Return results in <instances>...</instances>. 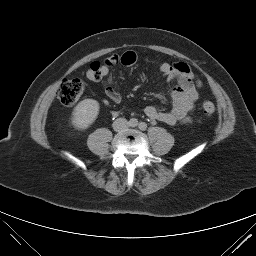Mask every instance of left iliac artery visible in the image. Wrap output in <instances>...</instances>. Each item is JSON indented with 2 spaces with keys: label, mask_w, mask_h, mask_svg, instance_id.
I'll list each match as a JSON object with an SVG mask.
<instances>
[{
  "label": "left iliac artery",
  "mask_w": 256,
  "mask_h": 256,
  "mask_svg": "<svg viewBox=\"0 0 256 256\" xmlns=\"http://www.w3.org/2000/svg\"><path fill=\"white\" fill-rule=\"evenodd\" d=\"M138 127H139L140 130L145 131L147 129V124L144 123V122H140L138 124Z\"/></svg>",
  "instance_id": "1"
}]
</instances>
